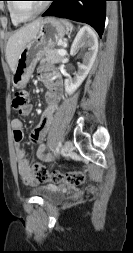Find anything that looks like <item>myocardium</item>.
I'll use <instances>...</instances> for the list:
<instances>
[{"mask_svg": "<svg viewBox=\"0 0 133 253\" xmlns=\"http://www.w3.org/2000/svg\"><path fill=\"white\" fill-rule=\"evenodd\" d=\"M15 3L16 2H10V8H11L13 16L20 22H25V21H29V20L34 19L35 17H37L38 15L43 13L48 7V2L46 1L35 13H33L31 15H23L17 9Z\"/></svg>", "mask_w": 133, "mask_h": 253, "instance_id": "f54148a6", "label": "myocardium"}]
</instances>
